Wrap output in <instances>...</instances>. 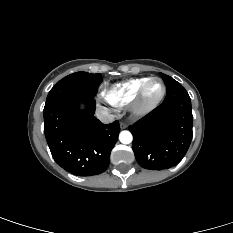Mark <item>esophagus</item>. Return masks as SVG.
<instances>
[{
    "mask_svg": "<svg viewBox=\"0 0 233 233\" xmlns=\"http://www.w3.org/2000/svg\"><path fill=\"white\" fill-rule=\"evenodd\" d=\"M120 128H121V129L127 128V124L124 123V122H121V123H120Z\"/></svg>",
    "mask_w": 233,
    "mask_h": 233,
    "instance_id": "1",
    "label": "esophagus"
}]
</instances>
